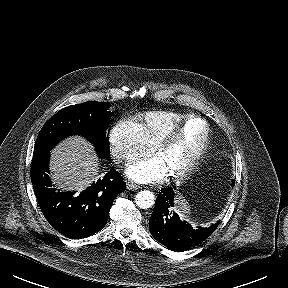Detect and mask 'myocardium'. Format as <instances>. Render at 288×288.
<instances>
[{"mask_svg":"<svg viewBox=\"0 0 288 288\" xmlns=\"http://www.w3.org/2000/svg\"><path fill=\"white\" fill-rule=\"evenodd\" d=\"M192 120H200L202 121L206 126V134L203 141L202 146L196 153V155L193 157V159L190 161V163L185 166L181 171L176 173H171L170 177L176 180H181L186 177H188L199 165L203 157L205 156L211 141V126L209 122L203 118L200 115L196 114H190L184 119L178 121L173 126H171L156 142L154 146L155 153H160L163 149L168 147L176 138L179 131L183 128L185 124H187L189 121Z\"/></svg>","mask_w":288,"mask_h":288,"instance_id":"1","label":"myocardium"}]
</instances>
